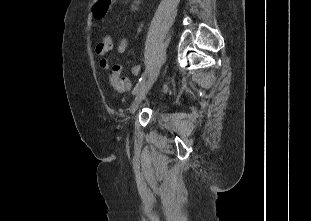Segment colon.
Listing matches in <instances>:
<instances>
[{"mask_svg": "<svg viewBox=\"0 0 311 221\" xmlns=\"http://www.w3.org/2000/svg\"><path fill=\"white\" fill-rule=\"evenodd\" d=\"M116 0H96L93 2V17H97L99 22L104 20V17H108L109 12H111L112 7L108 4H115ZM117 74H112L110 77L111 83L115 84L117 79Z\"/></svg>", "mask_w": 311, "mask_h": 221, "instance_id": "obj_1", "label": "colon"}]
</instances>
